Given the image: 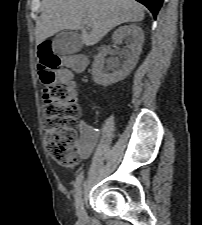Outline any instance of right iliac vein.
<instances>
[{"label":"right iliac vein","instance_id":"63e3f726","mask_svg":"<svg viewBox=\"0 0 202 225\" xmlns=\"http://www.w3.org/2000/svg\"><path fill=\"white\" fill-rule=\"evenodd\" d=\"M75 207H76L77 216L81 220H84L86 218V211L84 208L83 192L81 189L78 191L76 195Z\"/></svg>","mask_w":202,"mask_h":225}]
</instances>
